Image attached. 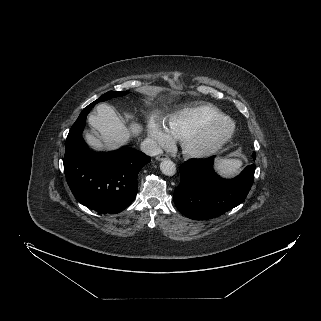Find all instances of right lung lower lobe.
I'll return each instance as SVG.
<instances>
[{"label":"right lung lower lobe","mask_w":321,"mask_h":321,"mask_svg":"<svg viewBox=\"0 0 321 321\" xmlns=\"http://www.w3.org/2000/svg\"><path fill=\"white\" fill-rule=\"evenodd\" d=\"M91 106L83 109L66 139L64 172L75 198L99 213L127 208L137 194V175L151 159L133 148L91 153L82 138Z\"/></svg>","instance_id":"obj_1"}]
</instances>
